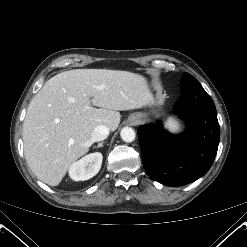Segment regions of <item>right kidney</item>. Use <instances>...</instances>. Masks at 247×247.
I'll list each match as a JSON object with an SVG mask.
<instances>
[{"label": "right kidney", "mask_w": 247, "mask_h": 247, "mask_svg": "<svg viewBox=\"0 0 247 247\" xmlns=\"http://www.w3.org/2000/svg\"><path fill=\"white\" fill-rule=\"evenodd\" d=\"M103 156L100 152L90 153L74 162L69 168V176L74 181H84L95 176L102 164Z\"/></svg>", "instance_id": "right-kidney-1"}]
</instances>
